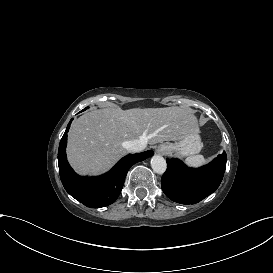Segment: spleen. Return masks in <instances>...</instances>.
Returning a JSON list of instances; mask_svg holds the SVG:
<instances>
[{"mask_svg": "<svg viewBox=\"0 0 273 273\" xmlns=\"http://www.w3.org/2000/svg\"><path fill=\"white\" fill-rule=\"evenodd\" d=\"M205 162L206 160L202 155H193L186 158V164H188L189 166L197 167L204 164Z\"/></svg>", "mask_w": 273, "mask_h": 273, "instance_id": "3e777b00", "label": "spleen"}]
</instances>
